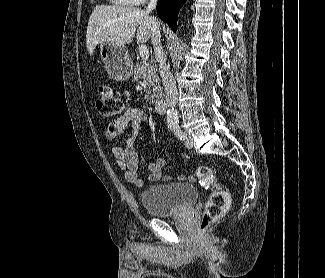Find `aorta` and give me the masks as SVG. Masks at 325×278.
Listing matches in <instances>:
<instances>
[{
    "label": "aorta",
    "instance_id": "obj_1",
    "mask_svg": "<svg viewBox=\"0 0 325 278\" xmlns=\"http://www.w3.org/2000/svg\"><path fill=\"white\" fill-rule=\"evenodd\" d=\"M177 119H178L177 112L174 109H170L167 112V121L175 122L177 121Z\"/></svg>",
    "mask_w": 325,
    "mask_h": 278
}]
</instances>
